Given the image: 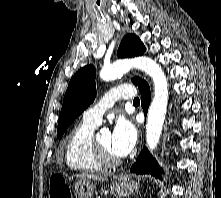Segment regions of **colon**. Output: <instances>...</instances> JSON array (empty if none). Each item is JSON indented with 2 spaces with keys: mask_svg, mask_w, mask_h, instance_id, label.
Masks as SVG:
<instances>
[{
  "mask_svg": "<svg viewBox=\"0 0 221 198\" xmlns=\"http://www.w3.org/2000/svg\"><path fill=\"white\" fill-rule=\"evenodd\" d=\"M49 198H72L69 186L61 175H54L50 179Z\"/></svg>",
  "mask_w": 221,
  "mask_h": 198,
  "instance_id": "colon-1",
  "label": "colon"
}]
</instances>
